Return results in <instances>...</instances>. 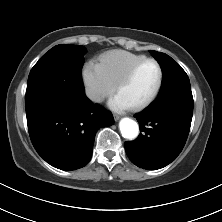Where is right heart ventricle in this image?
<instances>
[{
	"mask_svg": "<svg viewBox=\"0 0 222 222\" xmlns=\"http://www.w3.org/2000/svg\"><path fill=\"white\" fill-rule=\"evenodd\" d=\"M145 58L144 55L114 50L101 56L98 65L106 78L116 85L134 64Z\"/></svg>",
	"mask_w": 222,
	"mask_h": 222,
	"instance_id": "e07e8e85",
	"label": "right heart ventricle"
}]
</instances>
